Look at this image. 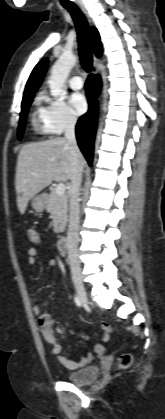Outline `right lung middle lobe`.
Returning a JSON list of instances; mask_svg holds the SVG:
<instances>
[{
  "label": "right lung middle lobe",
  "instance_id": "1",
  "mask_svg": "<svg viewBox=\"0 0 165 419\" xmlns=\"http://www.w3.org/2000/svg\"><path fill=\"white\" fill-rule=\"evenodd\" d=\"M33 97L34 96H30L29 98L22 101L20 121H19V126H18V138L19 139L22 138L24 128H25L26 116L28 114L29 107H30V104L32 103Z\"/></svg>",
  "mask_w": 165,
  "mask_h": 419
}]
</instances>
